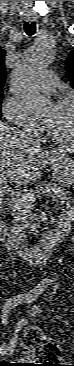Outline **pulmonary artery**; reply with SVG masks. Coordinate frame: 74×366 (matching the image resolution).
Wrapping results in <instances>:
<instances>
[{
	"label": "pulmonary artery",
	"mask_w": 74,
	"mask_h": 366,
	"mask_svg": "<svg viewBox=\"0 0 74 366\" xmlns=\"http://www.w3.org/2000/svg\"><path fill=\"white\" fill-rule=\"evenodd\" d=\"M58 84V77L52 70H45L37 81V87L42 92H52L58 87Z\"/></svg>",
	"instance_id": "obj_1"
}]
</instances>
